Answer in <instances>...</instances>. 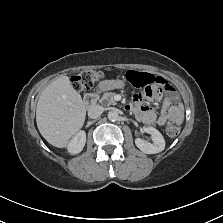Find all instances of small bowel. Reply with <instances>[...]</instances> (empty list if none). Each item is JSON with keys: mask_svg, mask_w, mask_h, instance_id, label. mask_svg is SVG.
I'll use <instances>...</instances> for the list:
<instances>
[{"mask_svg": "<svg viewBox=\"0 0 223 223\" xmlns=\"http://www.w3.org/2000/svg\"><path fill=\"white\" fill-rule=\"evenodd\" d=\"M159 79L165 82L163 91L166 92L159 116L156 115L153 108L145 105L143 102L144 98L150 100L161 99V92H156L151 87H146L143 93L136 94L128 108L133 110L137 117L147 124L157 123L160 126L167 127L179 125L183 120L184 110L182 106L177 104V93L166 80L160 77Z\"/></svg>", "mask_w": 223, "mask_h": 223, "instance_id": "small-bowel-1", "label": "small bowel"}]
</instances>
